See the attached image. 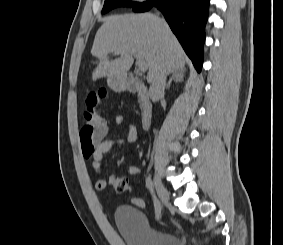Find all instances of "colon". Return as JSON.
I'll return each instance as SVG.
<instances>
[{
	"mask_svg": "<svg viewBox=\"0 0 283 245\" xmlns=\"http://www.w3.org/2000/svg\"><path fill=\"white\" fill-rule=\"evenodd\" d=\"M106 96L107 93L105 91H100L90 94L87 97L86 108L83 111L84 127L92 128L104 123V119L97 110V107L103 102ZM113 188L118 193L132 192L126 177H117L113 183ZM132 204L138 208H144L146 206L145 201L138 196H133Z\"/></svg>",
	"mask_w": 283,
	"mask_h": 245,
	"instance_id": "colon-1",
	"label": "colon"
}]
</instances>
